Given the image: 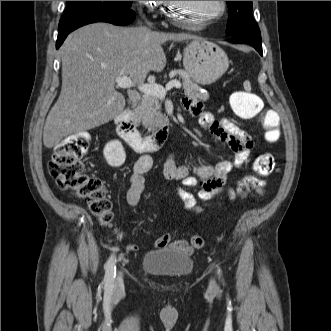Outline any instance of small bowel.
<instances>
[{
    "mask_svg": "<svg viewBox=\"0 0 331 331\" xmlns=\"http://www.w3.org/2000/svg\"><path fill=\"white\" fill-rule=\"evenodd\" d=\"M182 106L193 116L198 117L200 126L207 130L213 137L219 140L225 147L234 153L233 160H222L213 165H201L197 167L180 166L175 157L170 155L163 167L164 176L170 180H180L185 187H199L197 197L185 189L178 188L176 193L188 210L199 211L198 198L208 200L218 195L225 194L229 198L235 196L232 189L226 188V175L234 168L242 167L248 160L253 149L254 142L251 136L239 125L227 118L217 119L213 114L204 110L201 103L184 99ZM152 167V159L143 155L133 165L129 177V188L126 193V201L129 206L136 207L144 190V174ZM265 182L257 177H246L239 183V188H252L262 192ZM155 248L174 247L188 253L193 251L192 246L186 240L170 241L168 234L162 235L154 243ZM138 250L136 244H130L128 251Z\"/></svg>",
    "mask_w": 331,
    "mask_h": 331,
    "instance_id": "1",
    "label": "small bowel"
}]
</instances>
